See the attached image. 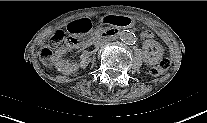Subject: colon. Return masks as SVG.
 I'll list each match as a JSON object with an SVG mask.
<instances>
[{
    "instance_id": "1",
    "label": "colon",
    "mask_w": 207,
    "mask_h": 123,
    "mask_svg": "<svg viewBox=\"0 0 207 123\" xmlns=\"http://www.w3.org/2000/svg\"><path fill=\"white\" fill-rule=\"evenodd\" d=\"M171 66V60L167 57L160 60V62L149 70V74L153 77H158L166 73Z\"/></svg>"
}]
</instances>
